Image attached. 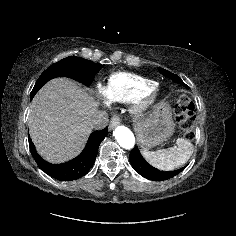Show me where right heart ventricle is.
I'll list each match as a JSON object with an SVG mask.
<instances>
[{
  "mask_svg": "<svg viewBox=\"0 0 236 236\" xmlns=\"http://www.w3.org/2000/svg\"><path fill=\"white\" fill-rule=\"evenodd\" d=\"M155 85L156 83L153 80L146 77L127 72H118L108 78L104 96L110 102H134Z\"/></svg>",
  "mask_w": 236,
  "mask_h": 236,
  "instance_id": "obj_1",
  "label": "right heart ventricle"
}]
</instances>
